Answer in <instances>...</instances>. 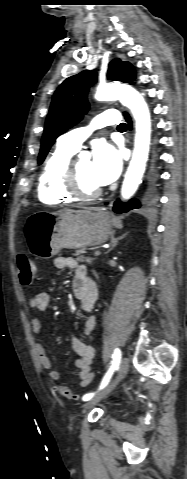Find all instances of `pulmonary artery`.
I'll return each mask as SVG.
<instances>
[{
	"label": "pulmonary artery",
	"instance_id": "pulmonary-artery-1",
	"mask_svg": "<svg viewBox=\"0 0 187 479\" xmlns=\"http://www.w3.org/2000/svg\"><path fill=\"white\" fill-rule=\"evenodd\" d=\"M120 121V114L115 109L106 110L98 114L91 125L71 130L59 137L58 142L72 150H78L81 143L96 129L107 125H115Z\"/></svg>",
	"mask_w": 187,
	"mask_h": 479
}]
</instances>
